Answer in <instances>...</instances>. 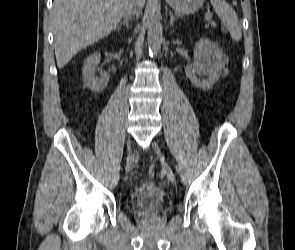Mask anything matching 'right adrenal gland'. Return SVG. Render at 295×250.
Segmentation results:
<instances>
[{"label": "right adrenal gland", "instance_id": "2a0ac1e0", "mask_svg": "<svg viewBox=\"0 0 295 250\" xmlns=\"http://www.w3.org/2000/svg\"><path fill=\"white\" fill-rule=\"evenodd\" d=\"M129 17H124V21L118 26V28H121L122 27V25L123 26H126V28H128L129 27Z\"/></svg>", "mask_w": 295, "mask_h": 250}]
</instances>
